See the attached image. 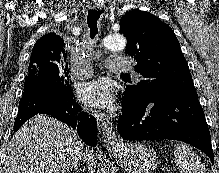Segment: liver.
I'll return each mask as SVG.
<instances>
[{
	"label": "liver",
	"instance_id": "obj_1",
	"mask_svg": "<svg viewBox=\"0 0 219 173\" xmlns=\"http://www.w3.org/2000/svg\"><path fill=\"white\" fill-rule=\"evenodd\" d=\"M82 157L92 173L94 154L84 150L76 131L51 116L38 114L9 142L2 173H71Z\"/></svg>",
	"mask_w": 219,
	"mask_h": 173
}]
</instances>
